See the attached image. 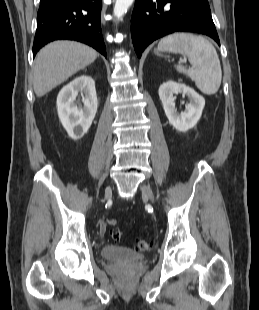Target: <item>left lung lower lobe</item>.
Here are the masks:
<instances>
[{"label":"left lung lower lobe","mask_w":259,"mask_h":310,"mask_svg":"<svg viewBox=\"0 0 259 310\" xmlns=\"http://www.w3.org/2000/svg\"><path fill=\"white\" fill-rule=\"evenodd\" d=\"M176 31L205 34L220 45L207 0L135 1L131 36L139 58L154 40Z\"/></svg>","instance_id":"0a47b994"}]
</instances>
